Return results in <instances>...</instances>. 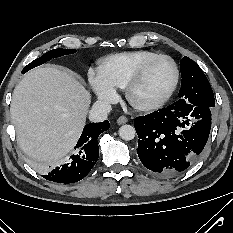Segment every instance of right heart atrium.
<instances>
[{"label":"right heart atrium","mask_w":233,"mask_h":233,"mask_svg":"<svg viewBox=\"0 0 233 233\" xmlns=\"http://www.w3.org/2000/svg\"><path fill=\"white\" fill-rule=\"evenodd\" d=\"M88 80L98 100L112 103L116 99L115 88L105 81L100 69H90L88 71Z\"/></svg>","instance_id":"obj_1"}]
</instances>
